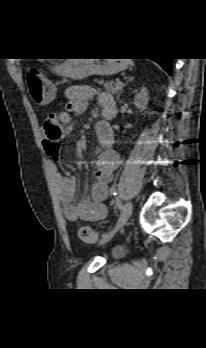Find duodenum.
<instances>
[{
	"label": "duodenum",
	"mask_w": 206,
	"mask_h": 348,
	"mask_svg": "<svg viewBox=\"0 0 206 348\" xmlns=\"http://www.w3.org/2000/svg\"><path fill=\"white\" fill-rule=\"evenodd\" d=\"M115 112H116V105L113 107H106L103 109V116H104L106 124H109V121L114 118ZM99 136L105 142H109L111 140L110 131L105 127L100 128Z\"/></svg>",
	"instance_id": "obj_1"
}]
</instances>
